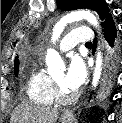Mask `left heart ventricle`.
Listing matches in <instances>:
<instances>
[{"label": "left heart ventricle", "mask_w": 122, "mask_h": 123, "mask_svg": "<svg viewBox=\"0 0 122 123\" xmlns=\"http://www.w3.org/2000/svg\"><path fill=\"white\" fill-rule=\"evenodd\" d=\"M64 73H61L57 76L54 77V80L60 85V87L67 93H72L73 91L66 88L64 85H63V79H64Z\"/></svg>", "instance_id": "left-heart-ventricle-1"}]
</instances>
